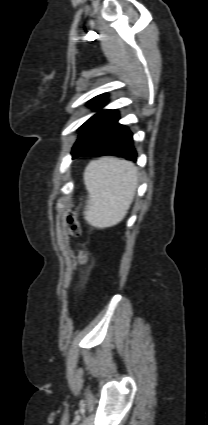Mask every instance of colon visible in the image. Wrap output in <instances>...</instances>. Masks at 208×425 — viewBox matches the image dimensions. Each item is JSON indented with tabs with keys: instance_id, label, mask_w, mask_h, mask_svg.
<instances>
[{
	"instance_id": "obj_1",
	"label": "colon",
	"mask_w": 208,
	"mask_h": 425,
	"mask_svg": "<svg viewBox=\"0 0 208 425\" xmlns=\"http://www.w3.org/2000/svg\"><path fill=\"white\" fill-rule=\"evenodd\" d=\"M82 228L78 216L76 213H72L67 216V233L69 236L78 237L81 235ZM88 259L87 252L80 250L78 253V264H86ZM81 288L85 289V283L81 281Z\"/></svg>"
}]
</instances>
